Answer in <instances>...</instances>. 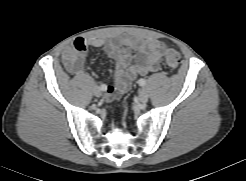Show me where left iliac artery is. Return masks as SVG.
Here are the masks:
<instances>
[{
	"mask_svg": "<svg viewBox=\"0 0 246 181\" xmlns=\"http://www.w3.org/2000/svg\"><path fill=\"white\" fill-rule=\"evenodd\" d=\"M138 84L143 87L146 85V80L141 78V79H139Z\"/></svg>",
	"mask_w": 246,
	"mask_h": 181,
	"instance_id": "1",
	"label": "left iliac artery"
}]
</instances>
